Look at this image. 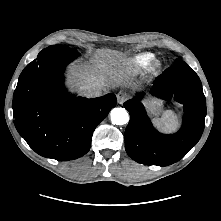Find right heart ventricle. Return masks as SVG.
Returning <instances> with one entry per match:
<instances>
[{
    "label": "right heart ventricle",
    "mask_w": 221,
    "mask_h": 221,
    "mask_svg": "<svg viewBox=\"0 0 221 221\" xmlns=\"http://www.w3.org/2000/svg\"><path fill=\"white\" fill-rule=\"evenodd\" d=\"M151 59H152V54L147 52H142V53H137L132 57H130L126 61V64L128 65L129 68L137 70L149 64Z\"/></svg>",
    "instance_id": "obj_1"
}]
</instances>
